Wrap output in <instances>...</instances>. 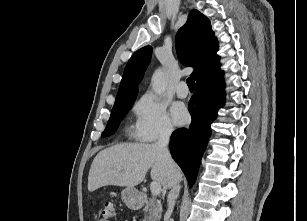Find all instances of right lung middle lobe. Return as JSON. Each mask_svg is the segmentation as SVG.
<instances>
[{"label":"right lung middle lobe","mask_w":307,"mask_h":221,"mask_svg":"<svg viewBox=\"0 0 307 221\" xmlns=\"http://www.w3.org/2000/svg\"><path fill=\"white\" fill-rule=\"evenodd\" d=\"M135 99L136 96L114 103L110 119L107 123L104 132L102 133V137L110 136L115 132L117 126L120 124L121 120L125 117V114L131 109Z\"/></svg>","instance_id":"right-lung-middle-lobe-1"}]
</instances>
